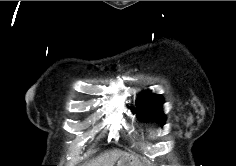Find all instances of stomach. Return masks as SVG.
Returning <instances> with one entry per match:
<instances>
[{"mask_svg":"<svg viewBox=\"0 0 236 166\" xmlns=\"http://www.w3.org/2000/svg\"><path fill=\"white\" fill-rule=\"evenodd\" d=\"M117 166H137V165L134 163L133 159L127 158L119 160Z\"/></svg>","mask_w":236,"mask_h":166,"instance_id":"stomach-1","label":"stomach"}]
</instances>
